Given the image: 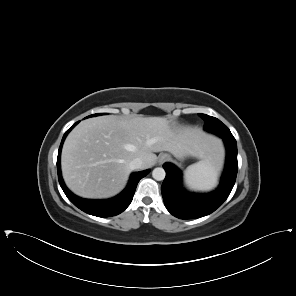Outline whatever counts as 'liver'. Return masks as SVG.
Wrapping results in <instances>:
<instances>
[{"mask_svg":"<svg viewBox=\"0 0 296 296\" xmlns=\"http://www.w3.org/2000/svg\"><path fill=\"white\" fill-rule=\"evenodd\" d=\"M220 144L199 128L170 125L164 117L109 115L81 121L67 136L61 155L64 181L84 198L118 194L140 158L142 169L155 165L154 152L168 151L177 158L207 159Z\"/></svg>","mask_w":296,"mask_h":296,"instance_id":"obj_1","label":"liver"}]
</instances>
